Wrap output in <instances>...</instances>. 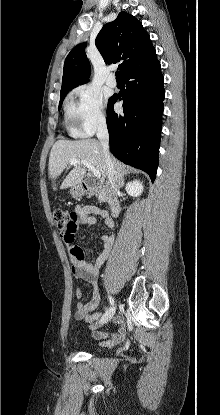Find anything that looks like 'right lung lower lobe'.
Here are the masks:
<instances>
[{
    "label": "right lung lower lobe",
    "instance_id": "obj_1",
    "mask_svg": "<svg viewBox=\"0 0 220 415\" xmlns=\"http://www.w3.org/2000/svg\"><path fill=\"white\" fill-rule=\"evenodd\" d=\"M124 88L109 99L107 127L111 153L123 163L148 173L155 180L162 127L164 80L160 63L123 76ZM123 100V112L113 109Z\"/></svg>",
    "mask_w": 220,
    "mask_h": 415
}]
</instances>
